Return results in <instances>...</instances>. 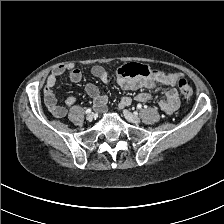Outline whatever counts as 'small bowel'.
I'll use <instances>...</instances> for the list:
<instances>
[{
	"instance_id": "obj_1",
	"label": "small bowel",
	"mask_w": 224,
	"mask_h": 224,
	"mask_svg": "<svg viewBox=\"0 0 224 224\" xmlns=\"http://www.w3.org/2000/svg\"><path fill=\"white\" fill-rule=\"evenodd\" d=\"M66 71L69 72V79L73 83H78L82 80V73L79 69L72 66H59L55 68L52 73L47 77L44 87V102L48 111L57 118H62L66 115V109L63 106L58 105L55 95L53 93V87L57 82V79L61 77ZM91 73L94 77L99 79L103 83L109 81V75L107 71L100 65H95L91 69ZM179 74L166 73L162 71H154L145 77H123L117 78V84L123 90L135 91L145 89L132 97H123L120 101L119 108L126 107L132 103L133 100L138 102H147L151 99V93L147 90L154 89L158 86L165 87L164 98L158 101V107L168 113L172 114L179 107V96L175 88ZM87 94L92 98L94 106L99 113L105 111L107 96L102 94L99 88L93 83H87L85 85ZM75 97L69 96L66 99L67 106H73L75 104Z\"/></svg>"
}]
</instances>
